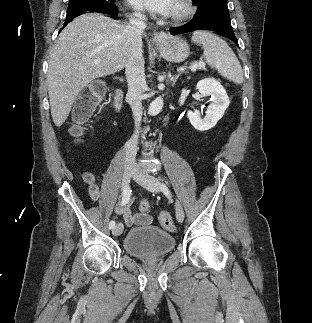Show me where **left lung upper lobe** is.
Here are the masks:
<instances>
[{
	"mask_svg": "<svg viewBox=\"0 0 312 323\" xmlns=\"http://www.w3.org/2000/svg\"><path fill=\"white\" fill-rule=\"evenodd\" d=\"M197 11L190 22H200L215 16L229 17L227 0H193Z\"/></svg>",
	"mask_w": 312,
	"mask_h": 323,
	"instance_id": "left-lung-upper-lobe-1",
	"label": "left lung upper lobe"
}]
</instances>
